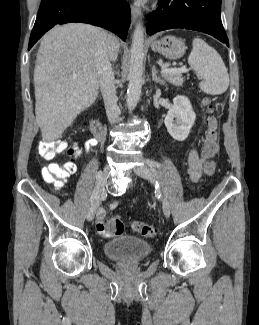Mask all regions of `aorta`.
<instances>
[{"label":"aorta","mask_w":259,"mask_h":325,"mask_svg":"<svg viewBox=\"0 0 259 325\" xmlns=\"http://www.w3.org/2000/svg\"><path fill=\"white\" fill-rule=\"evenodd\" d=\"M143 43L144 30L140 24H137L132 37L128 74L127 106L130 111L136 107L142 90L144 60Z\"/></svg>","instance_id":"aorta-1"}]
</instances>
